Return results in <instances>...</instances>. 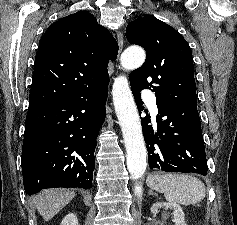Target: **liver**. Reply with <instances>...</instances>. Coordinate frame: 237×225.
<instances>
[{
    "mask_svg": "<svg viewBox=\"0 0 237 225\" xmlns=\"http://www.w3.org/2000/svg\"><path fill=\"white\" fill-rule=\"evenodd\" d=\"M75 196L68 189L43 190L33 197V202L45 221L52 219Z\"/></svg>",
    "mask_w": 237,
    "mask_h": 225,
    "instance_id": "6515ba94",
    "label": "liver"
}]
</instances>
